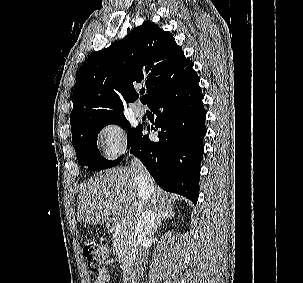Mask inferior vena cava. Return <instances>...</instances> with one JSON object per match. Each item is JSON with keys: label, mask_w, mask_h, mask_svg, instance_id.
Returning <instances> with one entry per match:
<instances>
[{"label": "inferior vena cava", "mask_w": 303, "mask_h": 283, "mask_svg": "<svg viewBox=\"0 0 303 283\" xmlns=\"http://www.w3.org/2000/svg\"><path fill=\"white\" fill-rule=\"evenodd\" d=\"M131 169L136 173L135 181L138 186V218L134 231V244L136 248L135 268L138 271V277H143V263L147 257V246L154 233L157 208L154 197L153 180L136 157L131 159Z\"/></svg>", "instance_id": "obj_1"}]
</instances>
